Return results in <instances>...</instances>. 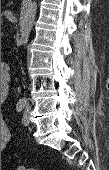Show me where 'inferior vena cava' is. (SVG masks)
<instances>
[{"mask_svg":"<svg viewBox=\"0 0 109 170\" xmlns=\"http://www.w3.org/2000/svg\"><path fill=\"white\" fill-rule=\"evenodd\" d=\"M24 102L27 104V108H29V104L27 103L26 99H24Z\"/></svg>","mask_w":109,"mask_h":170,"instance_id":"602c4592","label":"inferior vena cava"}]
</instances>
